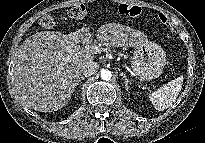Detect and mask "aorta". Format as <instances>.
<instances>
[{"mask_svg":"<svg viewBox=\"0 0 205 143\" xmlns=\"http://www.w3.org/2000/svg\"><path fill=\"white\" fill-rule=\"evenodd\" d=\"M112 77V73L109 70H103L101 71V78L102 80L108 81Z\"/></svg>","mask_w":205,"mask_h":143,"instance_id":"aorta-1","label":"aorta"}]
</instances>
